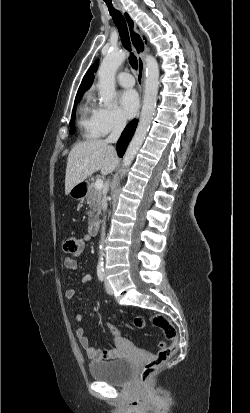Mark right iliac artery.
Returning a JSON list of instances; mask_svg holds the SVG:
<instances>
[{
	"instance_id": "1",
	"label": "right iliac artery",
	"mask_w": 250,
	"mask_h": 413,
	"mask_svg": "<svg viewBox=\"0 0 250 413\" xmlns=\"http://www.w3.org/2000/svg\"><path fill=\"white\" fill-rule=\"evenodd\" d=\"M97 275L100 281H104L105 280V272H104V267L103 264H99L97 267Z\"/></svg>"
}]
</instances>
